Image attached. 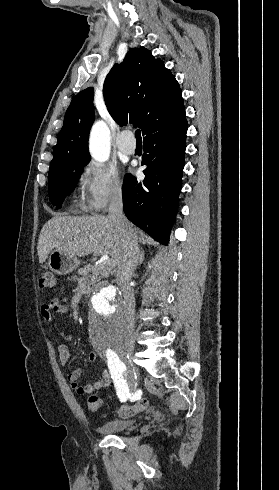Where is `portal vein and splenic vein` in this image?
<instances>
[{"label": "portal vein and splenic vein", "mask_w": 279, "mask_h": 490, "mask_svg": "<svg viewBox=\"0 0 279 490\" xmlns=\"http://www.w3.org/2000/svg\"><path fill=\"white\" fill-rule=\"evenodd\" d=\"M105 260H106V262H102V264H108V266H114L112 260H108V256H106ZM102 264H101V266H102Z\"/></svg>", "instance_id": "1"}]
</instances>
